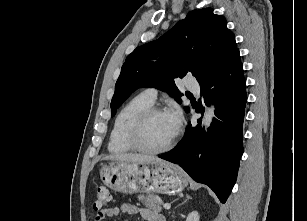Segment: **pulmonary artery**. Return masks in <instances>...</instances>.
Instances as JSON below:
<instances>
[{
    "label": "pulmonary artery",
    "mask_w": 307,
    "mask_h": 221,
    "mask_svg": "<svg viewBox=\"0 0 307 221\" xmlns=\"http://www.w3.org/2000/svg\"><path fill=\"white\" fill-rule=\"evenodd\" d=\"M186 86L188 89L192 90L193 92L198 93L199 92V84L196 81H191L188 80L186 83ZM149 101L151 102H155L156 98H157V91L154 88H148L146 90L143 91L142 93Z\"/></svg>",
    "instance_id": "e3ab8cb5"
}]
</instances>
